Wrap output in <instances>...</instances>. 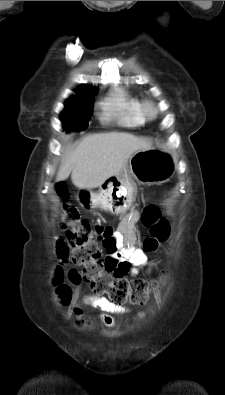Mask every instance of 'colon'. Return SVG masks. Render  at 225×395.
I'll return each instance as SVG.
<instances>
[{"mask_svg":"<svg viewBox=\"0 0 225 395\" xmlns=\"http://www.w3.org/2000/svg\"><path fill=\"white\" fill-rule=\"evenodd\" d=\"M57 193L62 200L60 221L66 230V238L71 247V261L82 267L81 279L88 283L97 294L106 295L110 302L122 305L127 302L143 304L154 292L160 280L147 282L141 279L128 281L124 277H116L108 271L106 259L101 260V250L93 238V232L88 222L80 218V213L67 202L68 192L63 184L57 186ZM145 225L150 227V235L145 238L143 247L146 251H155L158 246L167 241L170 228L166 220L160 217L158 210L147 207L142 216ZM73 282V281H71ZM54 284L60 303L68 304L71 299V289L64 283L61 269L55 273Z\"/></svg>","mask_w":225,"mask_h":395,"instance_id":"5ec220e1","label":"colon"}]
</instances>
